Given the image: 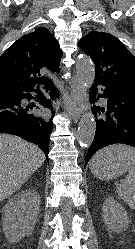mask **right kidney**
<instances>
[{"label":"right kidney","mask_w":135,"mask_h":249,"mask_svg":"<svg viewBox=\"0 0 135 249\" xmlns=\"http://www.w3.org/2000/svg\"><path fill=\"white\" fill-rule=\"evenodd\" d=\"M3 212V232L11 243H16L33 231L40 212V196L25 190L7 202Z\"/></svg>","instance_id":"obj_1"}]
</instances>
